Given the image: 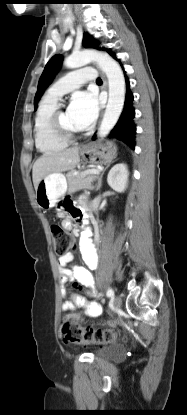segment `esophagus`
I'll return each instance as SVG.
<instances>
[{"label":"esophagus","mask_w":187,"mask_h":415,"mask_svg":"<svg viewBox=\"0 0 187 415\" xmlns=\"http://www.w3.org/2000/svg\"><path fill=\"white\" fill-rule=\"evenodd\" d=\"M102 77H103L104 84L107 85V80H106V77L104 76V74H102Z\"/></svg>","instance_id":"34e87169"}]
</instances>
